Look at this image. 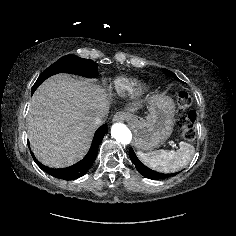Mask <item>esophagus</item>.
Listing matches in <instances>:
<instances>
[{
  "instance_id": "esophagus-1",
  "label": "esophagus",
  "mask_w": 236,
  "mask_h": 236,
  "mask_svg": "<svg viewBox=\"0 0 236 236\" xmlns=\"http://www.w3.org/2000/svg\"><path fill=\"white\" fill-rule=\"evenodd\" d=\"M126 118H128V115L124 112H118L113 116V121L114 122H122L124 121Z\"/></svg>"
}]
</instances>
